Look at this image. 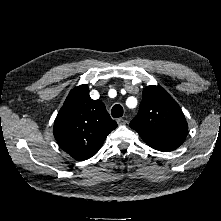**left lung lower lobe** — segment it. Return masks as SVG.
Wrapping results in <instances>:
<instances>
[{
  "mask_svg": "<svg viewBox=\"0 0 221 221\" xmlns=\"http://www.w3.org/2000/svg\"><path fill=\"white\" fill-rule=\"evenodd\" d=\"M150 147L159 151H172L178 148L183 141L162 140L152 137L142 138Z\"/></svg>",
  "mask_w": 221,
  "mask_h": 221,
  "instance_id": "obj_1",
  "label": "left lung lower lobe"
}]
</instances>
